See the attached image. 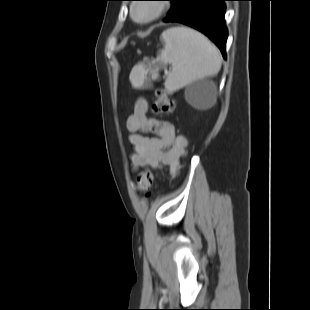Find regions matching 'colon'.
Instances as JSON below:
<instances>
[{"mask_svg": "<svg viewBox=\"0 0 310 310\" xmlns=\"http://www.w3.org/2000/svg\"><path fill=\"white\" fill-rule=\"evenodd\" d=\"M152 109L155 113H170L174 109V101L171 95L163 90L159 89L155 93V100L152 104ZM154 184V173L152 169L145 168L140 172L136 178L135 187L140 192L148 191Z\"/></svg>", "mask_w": 310, "mask_h": 310, "instance_id": "colon-1", "label": "colon"}]
</instances>
